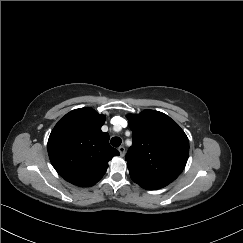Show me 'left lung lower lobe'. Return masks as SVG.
<instances>
[{
	"label": "left lung lower lobe",
	"instance_id": "1",
	"mask_svg": "<svg viewBox=\"0 0 243 243\" xmlns=\"http://www.w3.org/2000/svg\"><path fill=\"white\" fill-rule=\"evenodd\" d=\"M169 183H166V184H162V185H158L156 187H152V188H147L148 190H155V189H160V188H163L165 187L166 185H168Z\"/></svg>",
	"mask_w": 243,
	"mask_h": 243
}]
</instances>
